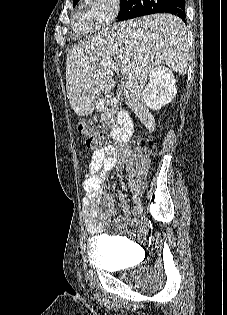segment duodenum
Here are the masks:
<instances>
[{
  "label": "duodenum",
  "mask_w": 227,
  "mask_h": 315,
  "mask_svg": "<svg viewBox=\"0 0 227 315\" xmlns=\"http://www.w3.org/2000/svg\"><path fill=\"white\" fill-rule=\"evenodd\" d=\"M132 121L130 114L119 108L116 110V123L113 130V136L116 142L124 144L129 141L132 134Z\"/></svg>",
  "instance_id": "duodenum-1"
}]
</instances>
